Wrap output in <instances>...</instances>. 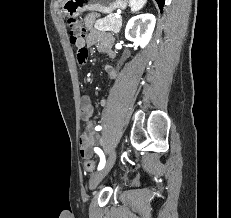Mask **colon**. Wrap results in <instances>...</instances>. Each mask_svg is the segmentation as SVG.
<instances>
[{"instance_id":"obj_1","label":"colon","mask_w":231,"mask_h":218,"mask_svg":"<svg viewBox=\"0 0 231 218\" xmlns=\"http://www.w3.org/2000/svg\"><path fill=\"white\" fill-rule=\"evenodd\" d=\"M67 26L69 30V37L73 44H76L77 42L84 40L86 36V29L77 19H68ZM77 58H88L87 49H79L77 53ZM84 167L87 171L92 172L95 168V162L92 159H86L84 161Z\"/></svg>"}]
</instances>
